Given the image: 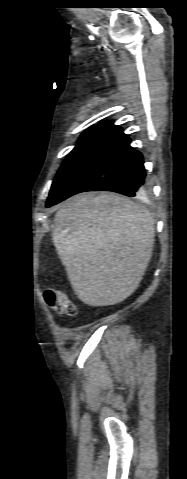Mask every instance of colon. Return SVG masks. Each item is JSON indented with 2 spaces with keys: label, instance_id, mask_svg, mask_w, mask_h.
I'll list each match as a JSON object with an SVG mask.
<instances>
[{
  "label": "colon",
  "instance_id": "obj_1",
  "mask_svg": "<svg viewBox=\"0 0 187 479\" xmlns=\"http://www.w3.org/2000/svg\"><path fill=\"white\" fill-rule=\"evenodd\" d=\"M46 304L59 314L75 316L78 306L62 291L45 288L42 292Z\"/></svg>",
  "mask_w": 187,
  "mask_h": 479
}]
</instances>
